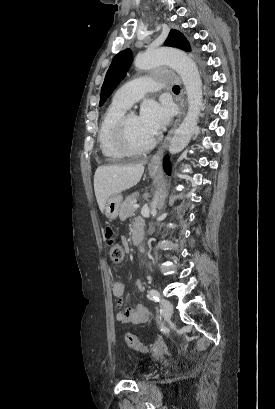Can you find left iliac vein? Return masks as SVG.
Returning <instances> with one entry per match:
<instances>
[{
	"mask_svg": "<svg viewBox=\"0 0 275 409\" xmlns=\"http://www.w3.org/2000/svg\"><path fill=\"white\" fill-rule=\"evenodd\" d=\"M161 306H162V309H163V313H164V315H165V318H166L167 320H169L170 317H171V315H172V313H173V305H172V303H171L169 300L163 298V299L161 300Z\"/></svg>",
	"mask_w": 275,
	"mask_h": 409,
	"instance_id": "4c4485c4",
	"label": "left iliac vein"
}]
</instances>
